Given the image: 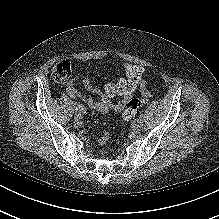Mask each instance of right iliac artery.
<instances>
[{
	"label": "right iliac artery",
	"mask_w": 219,
	"mask_h": 219,
	"mask_svg": "<svg viewBox=\"0 0 219 219\" xmlns=\"http://www.w3.org/2000/svg\"><path fill=\"white\" fill-rule=\"evenodd\" d=\"M75 108H76V110H80L82 112H85L84 106H82L81 104H78L77 102L75 103Z\"/></svg>",
	"instance_id": "82829eb1"
}]
</instances>
